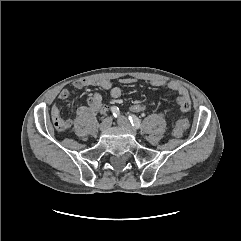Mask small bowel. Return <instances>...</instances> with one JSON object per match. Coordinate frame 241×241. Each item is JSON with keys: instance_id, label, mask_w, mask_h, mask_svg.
Returning a JSON list of instances; mask_svg holds the SVG:
<instances>
[{"instance_id": "c3829d8e", "label": "small bowel", "mask_w": 241, "mask_h": 241, "mask_svg": "<svg viewBox=\"0 0 241 241\" xmlns=\"http://www.w3.org/2000/svg\"><path fill=\"white\" fill-rule=\"evenodd\" d=\"M135 82V79L130 77H125L119 79L121 85H130ZM149 84L154 87H167L168 89L176 93V102L179 106V109L182 113H186L191 108V100L189 98L188 92L180 84L173 81H165L162 79H152L149 80ZM86 86H95L104 90L110 91V96L112 99L117 100L122 95V90L119 86H114L111 81L107 79H78L73 82V87L76 89H82ZM69 97V90L62 89L58 98L60 100H66ZM108 108L102 103V96L95 92L92 93L86 100V104L77 109L78 116H84L90 113H106ZM52 117L57 128L59 130H67L72 126L71 119H65L61 116L60 110L57 107L52 109Z\"/></svg>"}]
</instances>
